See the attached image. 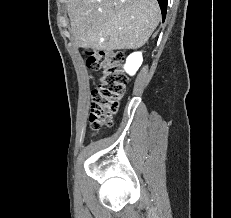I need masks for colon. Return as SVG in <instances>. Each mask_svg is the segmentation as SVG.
Listing matches in <instances>:
<instances>
[{
	"label": "colon",
	"mask_w": 231,
	"mask_h": 218,
	"mask_svg": "<svg viewBox=\"0 0 231 218\" xmlns=\"http://www.w3.org/2000/svg\"><path fill=\"white\" fill-rule=\"evenodd\" d=\"M86 65L100 71L99 83L92 91L89 112L90 127L97 132L112 123L118 102L125 92L127 77L123 72V55L119 52L88 51Z\"/></svg>",
	"instance_id": "colon-1"
}]
</instances>
